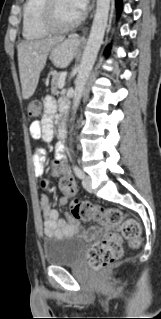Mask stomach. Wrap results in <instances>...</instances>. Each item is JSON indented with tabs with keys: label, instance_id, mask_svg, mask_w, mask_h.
<instances>
[{
	"label": "stomach",
	"instance_id": "stomach-1",
	"mask_svg": "<svg viewBox=\"0 0 161 319\" xmlns=\"http://www.w3.org/2000/svg\"><path fill=\"white\" fill-rule=\"evenodd\" d=\"M78 41L75 39H67L58 43L50 50V59L56 67H64L73 59Z\"/></svg>",
	"mask_w": 161,
	"mask_h": 319
}]
</instances>
